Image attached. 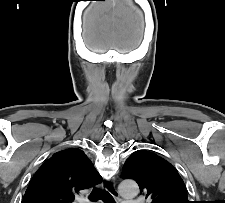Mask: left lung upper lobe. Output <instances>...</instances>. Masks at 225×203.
<instances>
[{
    "instance_id": "1",
    "label": "left lung upper lobe",
    "mask_w": 225,
    "mask_h": 203,
    "mask_svg": "<svg viewBox=\"0 0 225 203\" xmlns=\"http://www.w3.org/2000/svg\"><path fill=\"white\" fill-rule=\"evenodd\" d=\"M122 177L135 180L151 203H190L177 170L152 152H133L124 164Z\"/></svg>"
}]
</instances>
